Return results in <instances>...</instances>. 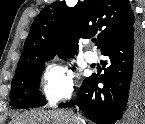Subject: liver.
I'll list each match as a JSON object with an SVG mask.
<instances>
[{
	"label": "liver",
	"mask_w": 145,
	"mask_h": 124,
	"mask_svg": "<svg viewBox=\"0 0 145 124\" xmlns=\"http://www.w3.org/2000/svg\"><path fill=\"white\" fill-rule=\"evenodd\" d=\"M12 124H77L76 116L65 111H30L18 116Z\"/></svg>",
	"instance_id": "obj_1"
}]
</instances>
